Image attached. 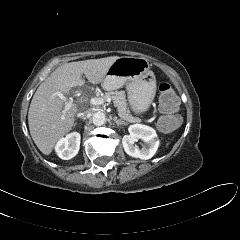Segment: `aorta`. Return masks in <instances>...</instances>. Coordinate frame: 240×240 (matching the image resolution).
Instances as JSON below:
<instances>
[{
	"label": "aorta",
	"mask_w": 240,
	"mask_h": 240,
	"mask_svg": "<svg viewBox=\"0 0 240 240\" xmlns=\"http://www.w3.org/2000/svg\"><path fill=\"white\" fill-rule=\"evenodd\" d=\"M92 121L95 126H101L105 124L106 116L102 112H96L93 114Z\"/></svg>",
	"instance_id": "obj_1"
}]
</instances>
